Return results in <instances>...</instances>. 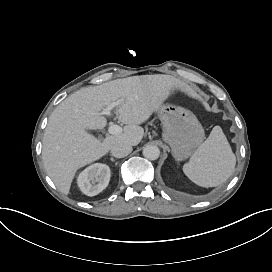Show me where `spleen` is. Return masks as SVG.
<instances>
[{"label":"spleen","mask_w":272,"mask_h":272,"mask_svg":"<svg viewBox=\"0 0 272 272\" xmlns=\"http://www.w3.org/2000/svg\"><path fill=\"white\" fill-rule=\"evenodd\" d=\"M236 157L220 126L198 147L183 166L185 175L201 187H217L233 173Z\"/></svg>","instance_id":"spleen-1"}]
</instances>
